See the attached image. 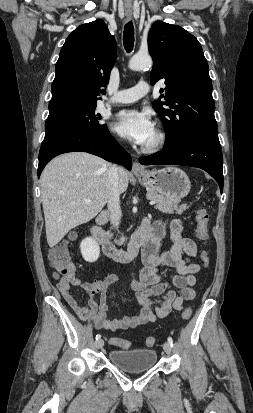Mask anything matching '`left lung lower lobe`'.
Instances as JSON below:
<instances>
[{
    "mask_svg": "<svg viewBox=\"0 0 253 413\" xmlns=\"http://www.w3.org/2000/svg\"><path fill=\"white\" fill-rule=\"evenodd\" d=\"M143 165H182L208 172L223 191V157L219 139L192 137L173 147L139 158Z\"/></svg>",
    "mask_w": 253,
    "mask_h": 413,
    "instance_id": "1",
    "label": "left lung lower lobe"
}]
</instances>
